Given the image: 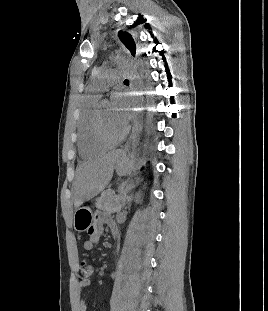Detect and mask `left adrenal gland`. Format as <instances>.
<instances>
[{
	"label": "left adrenal gland",
	"instance_id": "left-adrenal-gland-1",
	"mask_svg": "<svg viewBox=\"0 0 268 311\" xmlns=\"http://www.w3.org/2000/svg\"><path fill=\"white\" fill-rule=\"evenodd\" d=\"M134 186H135V185H132V186H131V185H129V186L127 185V186H126V189L123 191L124 197H126L127 192H128L129 190H131L132 188H134Z\"/></svg>",
	"mask_w": 268,
	"mask_h": 311
}]
</instances>
